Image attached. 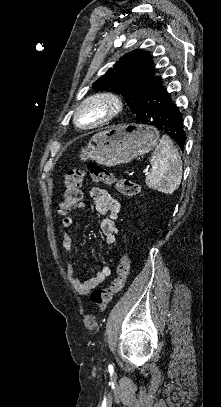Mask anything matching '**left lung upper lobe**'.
Masks as SVG:
<instances>
[{
  "instance_id": "left-lung-upper-lobe-1",
  "label": "left lung upper lobe",
  "mask_w": 221,
  "mask_h": 407,
  "mask_svg": "<svg viewBox=\"0 0 221 407\" xmlns=\"http://www.w3.org/2000/svg\"><path fill=\"white\" fill-rule=\"evenodd\" d=\"M154 71L150 53L142 49L134 50L122 56L113 68H109L107 73L93 84V89L121 94L135 114L143 90L159 79Z\"/></svg>"
}]
</instances>
